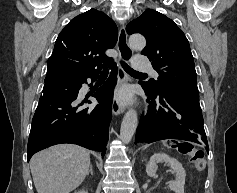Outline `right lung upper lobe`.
<instances>
[{
	"instance_id": "right-lung-upper-lobe-1",
	"label": "right lung upper lobe",
	"mask_w": 237,
	"mask_h": 193,
	"mask_svg": "<svg viewBox=\"0 0 237 193\" xmlns=\"http://www.w3.org/2000/svg\"><path fill=\"white\" fill-rule=\"evenodd\" d=\"M116 24L105 13L96 9L73 18L57 38L48 69H56L73 75H85L100 70L96 65L110 62L107 49L117 42Z\"/></svg>"
}]
</instances>
